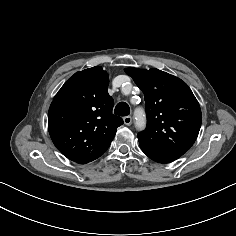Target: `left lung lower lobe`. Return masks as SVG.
<instances>
[{
	"instance_id": "0a47b994",
	"label": "left lung lower lobe",
	"mask_w": 236,
	"mask_h": 236,
	"mask_svg": "<svg viewBox=\"0 0 236 236\" xmlns=\"http://www.w3.org/2000/svg\"><path fill=\"white\" fill-rule=\"evenodd\" d=\"M142 151L152 160L159 162V163H169L180 156H182L185 152L184 151H170V150H159V149H152L145 146L140 145Z\"/></svg>"
}]
</instances>
